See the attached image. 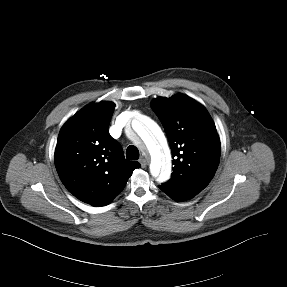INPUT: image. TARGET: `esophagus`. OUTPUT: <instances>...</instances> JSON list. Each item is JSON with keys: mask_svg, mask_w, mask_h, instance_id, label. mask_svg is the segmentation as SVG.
Instances as JSON below:
<instances>
[{"mask_svg": "<svg viewBox=\"0 0 287 287\" xmlns=\"http://www.w3.org/2000/svg\"><path fill=\"white\" fill-rule=\"evenodd\" d=\"M139 162H140L142 168H145L148 164L147 160L143 157L139 160Z\"/></svg>", "mask_w": 287, "mask_h": 287, "instance_id": "34e87169", "label": "esophagus"}]
</instances>
